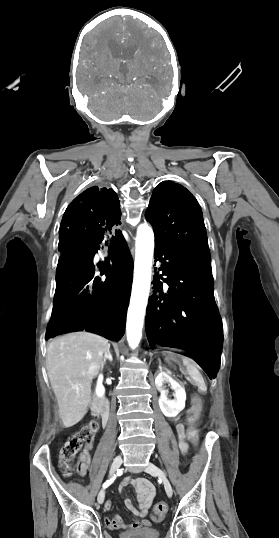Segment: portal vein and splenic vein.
<instances>
[{
  "label": "portal vein and splenic vein",
  "mask_w": 279,
  "mask_h": 538,
  "mask_svg": "<svg viewBox=\"0 0 279 538\" xmlns=\"http://www.w3.org/2000/svg\"><path fill=\"white\" fill-rule=\"evenodd\" d=\"M101 356H102V354H101ZM179 379H181L182 383L189 384V381H185L184 378H182V376H179Z\"/></svg>",
  "instance_id": "18ae733b"
}]
</instances>
